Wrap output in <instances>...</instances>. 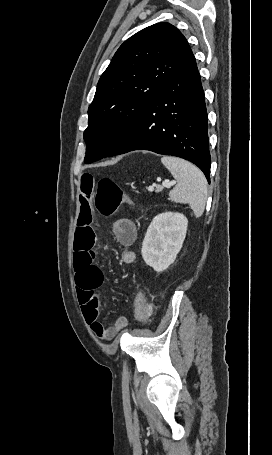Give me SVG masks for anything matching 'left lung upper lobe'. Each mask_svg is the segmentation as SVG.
<instances>
[{
  "instance_id": "5c2ea615",
  "label": "left lung upper lobe",
  "mask_w": 272,
  "mask_h": 455,
  "mask_svg": "<svg viewBox=\"0 0 272 455\" xmlns=\"http://www.w3.org/2000/svg\"><path fill=\"white\" fill-rule=\"evenodd\" d=\"M194 60L186 38L169 23L127 39L99 79L88 108L84 162L110 156L148 104Z\"/></svg>"
}]
</instances>
